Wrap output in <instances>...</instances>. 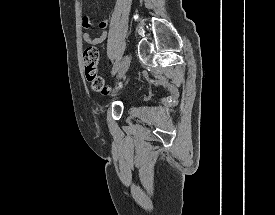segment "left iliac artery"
<instances>
[{"mask_svg": "<svg viewBox=\"0 0 275 215\" xmlns=\"http://www.w3.org/2000/svg\"><path fill=\"white\" fill-rule=\"evenodd\" d=\"M118 69H119V62L116 61L112 68V75H115V73L118 71Z\"/></svg>", "mask_w": 275, "mask_h": 215, "instance_id": "left-iliac-artery-1", "label": "left iliac artery"}]
</instances>
